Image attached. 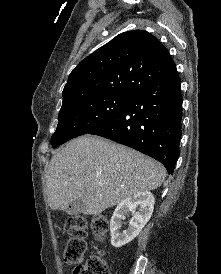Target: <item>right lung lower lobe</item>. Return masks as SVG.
<instances>
[{
    "label": "right lung lower lobe",
    "mask_w": 221,
    "mask_h": 274,
    "mask_svg": "<svg viewBox=\"0 0 221 274\" xmlns=\"http://www.w3.org/2000/svg\"><path fill=\"white\" fill-rule=\"evenodd\" d=\"M181 80L176 67L144 87L105 124L89 134L134 148L173 174L182 135Z\"/></svg>",
    "instance_id": "obj_1"
}]
</instances>
